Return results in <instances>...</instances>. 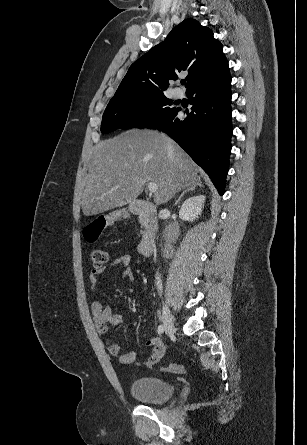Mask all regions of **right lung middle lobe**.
I'll return each mask as SVG.
<instances>
[{"instance_id":"1","label":"right lung middle lobe","mask_w":307,"mask_h":445,"mask_svg":"<svg viewBox=\"0 0 307 445\" xmlns=\"http://www.w3.org/2000/svg\"><path fill=\"white\" fill-rule=\"evenodd\" d=\"M172 101L163 93L111 99L103 114L101 132L119 128H151L171 115Z\"/></svg>"}]
</instances>
